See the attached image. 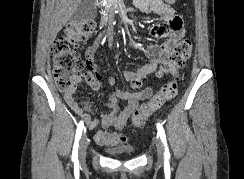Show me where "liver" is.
Listing matches in <instances>:
<instances>
[{"mask_svg":"<svg viewBox=\"0 0 244 179\" xmlns=\"http://www.w3.org/2000/svg\"><path fill=\"white\" fill-rule=\"evenodd\" d=\"M81 0H55V10L50 22V40L54 42L58 32L76 12Z\"/></svg>","mask_w":244,"mask_h":179,"instance_id":"1","label":"liver"}]
</instances>
